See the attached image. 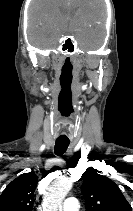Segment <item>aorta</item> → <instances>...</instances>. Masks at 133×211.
<instances>
[{
    "instance_id": "1",
    "label": "aorta",
    "mask_w": 133,
    "mask_h": 211,
    "mask_svg": "<svg viewBox=\"0 0 133 211\" xmlns=\"http://www.w3.org/2000/svg\"><path fill=\"white\" fill-rule=\"evenodd\" d=\"M72 185V181L67 178L54 181L44 194L43 211H62V202Z\"/></svg>"
}]
</instances>
